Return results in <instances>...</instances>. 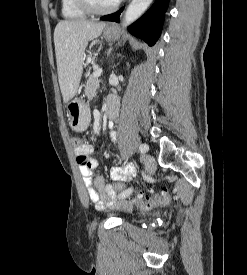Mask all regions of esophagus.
<instances>
[{
    "mask_svg": "<svg viewBox=\"0 0 247 275\" xmlns=\"http://www.w3.org/2000/svg\"><path fill=\"white\" fill-rule=\"evenodd\" d=\"M108 27H110V28H111V27H114V25H113V24H109V25H108Z\"/></svg>",
    "mask_w": 247,
    "mask_h": 275,
    "instance_id": "esophagus-1",
    "label": "esophagus"
}]
</instances>
